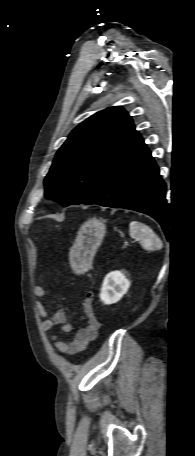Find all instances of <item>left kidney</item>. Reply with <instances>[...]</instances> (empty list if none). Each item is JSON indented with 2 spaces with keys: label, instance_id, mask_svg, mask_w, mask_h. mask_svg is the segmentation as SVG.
<instances>
[{
  "label": "left kidney",
  "instance_id": "1",
  "mask_svg": "<svg viewBox=\"0 0 195 456\" xmlns=\"http://www.w3.org/2000/svg\"><path fill=\"white\" fill-rule=\"evenodd\" d=\"M130 287V281L121 271H113L104 278L100 291V299L106 304L118 302Z\"/></svg>",
  "mask_w": 195,
  "mask_h": 456
}]
</instances>
